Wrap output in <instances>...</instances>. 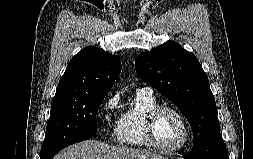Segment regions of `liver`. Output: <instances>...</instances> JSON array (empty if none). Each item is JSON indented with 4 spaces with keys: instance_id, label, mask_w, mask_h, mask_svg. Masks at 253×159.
Wrapping results in <instances>:
<instances>
[{
    "instance_id": "liver-1",
    "label": "liver",
    "mask_w": 253,
    "mask_h": 159,
    "mask_svg": "<svg viewBox=\"0 0 253 159\" xmlns=\"http://www.w3.org/2000/svg\"><path fill=\"white\" fill-rule=\"evenodd\" d=\"M53 159H168L149 150L109 146L102 142L86 140L61 150Z\"/></svg>"
}]
</instances>
